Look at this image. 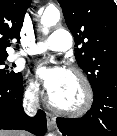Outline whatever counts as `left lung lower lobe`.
Listing matches in <instances>:
<instances>
[{
  "mask_svg": "<svg viewBox=\"0 0 117 136\" xmlns=\"http://www.w3.org/2000/svg\"><path fill=\"white\" fill-rule=\"evenodd\" d=\"M57 125L67 136H117V78L94 92L92 107L82 118H57Z\"/></svg>",
  "mask_w": 117,
  "mask_h": 136,
  "instance_id": "1",
  "label": "left lung lower lobe"
}]
</instances>
